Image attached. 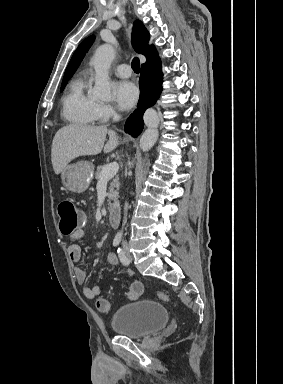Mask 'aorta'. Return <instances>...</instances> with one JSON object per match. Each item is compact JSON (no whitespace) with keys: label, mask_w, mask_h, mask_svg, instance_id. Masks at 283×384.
Returning <instances> with one entry per match:
<instances>
[{"label":"aorta","mask_w":283,"mask_h":384,"mask_svg":"<svg viewBox=\"0 0 283 384\" xmlns=\"http://www.w3.org/2000/svg\"><path fill=\"white\" fill-rule=\"evenodd\" d=\"M114 57L115 51L109 44L100 46L93 56L92 65L95 69V85L92 94L96 98H110L113 84L109 80L108 71ZM143 118L147 129L142 134L139 145L141 150L145 152L150 150L158 139L160 119L154 109L146 110Z\"/></svg>","instance_id":"1"}]
</instances>
